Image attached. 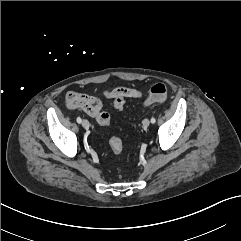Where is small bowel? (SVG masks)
<instances>
[{
	"mask_svg": "<svg viewBox=\"0 0 241 241\" xmlns=\"http://www.w3.org/2000/svg\"><path fill=\"white\" fill-rule=\"evenodd\" d=\"M117 89H121L123 91L125 98L137 99L142 97L140 90L131 87H117L112 90H107L104 92V96L109 99H114V91ZM65 103L69 109L81 110L93 118H97L103 108V103L99 98L75 91H69L66 94Z\"/></svg>",
	"mask_w": 241,
	"mask_h": 241,
	"instance_id": "obj_1",
	"label": "small bowel"
}]
</instances>
